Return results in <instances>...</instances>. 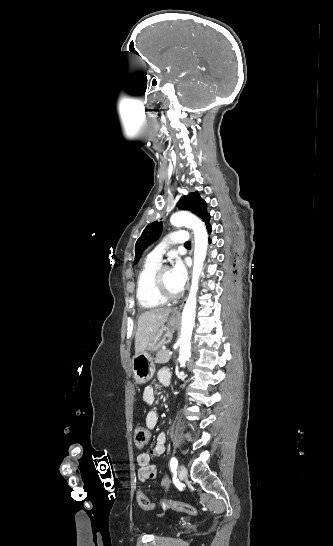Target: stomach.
Segmentation results:
<instances>
[{"label": "stomach", "instance_id": "stomach-1", "mask_svg": "<svg viewBox=\"0 0 333 546\" xmlns=\"http://www.w3.org/2000/svg\"><path fill=\"white\" fill-rule=\"evenodd\" d=\"M178 321L170 318L167 325H163L157 331L154 339L149 343L146 350L135 354L132 358V372L136 383L143 384L152 379L155 372V363L151 352L157 351L162 345L172 340L174 329Z\"/></svg>", "mask_w": 333, "mask_h": 546}]
</instances>
